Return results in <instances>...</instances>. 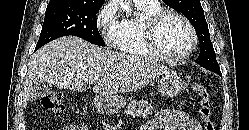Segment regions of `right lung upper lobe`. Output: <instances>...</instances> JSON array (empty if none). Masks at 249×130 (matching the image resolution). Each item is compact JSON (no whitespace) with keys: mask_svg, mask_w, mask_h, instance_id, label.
I'll list each match as a JSON object with an SVG mask.
<instances>
[{"mask_svg":"<svg viewBox=\"0 0 249 130\" xmlns=\"http://www.w3.org/2000/svg\"><path fill=\"white\" fill-rule=\"evenodd\" d=\"M105 0H50L48 5L60 2H70L84 5L103 4Z\"/></svg>","mask_w":249,"mask_h":130,"instance_id":"obj_1","label":"right lung upper lobe"}]
</instances>
